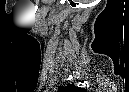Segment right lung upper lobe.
Returning <instances> with one entry per match:
<instances>
[{
	"mask_svg": "<svg viewBox=\"0 0 129 92\" xmlns=\"http://www.w3.org/2000/svg\"><path fill=\"white\" fill-rule=\"evenodd\" d=\"M79 88L74 85L61 86L59 88V92H76Z\"/></svg>",
	"mask_w": 129,
	"mask_h": 92,
	"instance_id": "cb5924a9",
	"label": "right lung upper lobe"
}]
</instances>
